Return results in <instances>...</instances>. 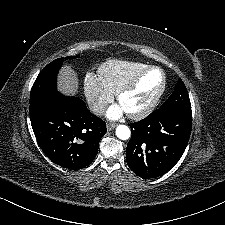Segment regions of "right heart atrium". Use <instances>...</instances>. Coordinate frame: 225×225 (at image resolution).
<instances>
[{
    "instance_id": "obj_1",
    "label": "right heart atrium",
    "mask_w": 225,
    "mask_h": 225,
    "mask_svg": "<svg viewBox=\"0 0 225 225\" xmlns=\"http://www.w3.org/2000/svg\"><path fill=\"white\" fill-rule=\"evenodd\" d=\"M83 87L91 108L96 112H100L113 99L111 90L107 88L100 77L92 73L85 75Z\"/></svg>"
}]
</instances>
